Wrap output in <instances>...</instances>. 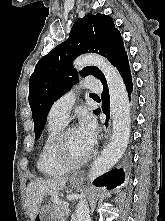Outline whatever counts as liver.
I'll list each match as a JSON object with an SVG mask.
<instances>
[{"instance_id":"1","label":"liver","mask_w":165,"mask_h":221,"mask_svg":"<svg viewBox=\"0 0 165 221\" xmlns=\"http://www.w3.org/2000/svg\"><path fill=\"white\" fill-rule=\"evenodd\" d=\"M68 181L67 177L52 179H37L30 182L26 189V205L29 217L34 221L42 200L45 196L56 194L62 190Z\"/></svg>"}]
</instances>
